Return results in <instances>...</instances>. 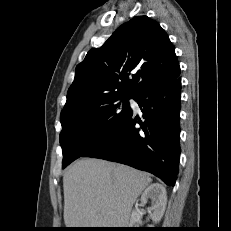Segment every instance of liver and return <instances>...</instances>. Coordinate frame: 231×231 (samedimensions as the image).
Returning a JSON list of instances; mask_svg holds the SVG:
<instances>
[{"label": "liver", "mask_w": 231, "mask_h": 231, "mask_svg": "<svg viewBox=\"0 0 231 231\" xmlns=\"http://www.w3.org/2000/svg\"><path fill=\"white\" fill-rule=\"evenodd\" d=\"M151 181L129 166L78 160L63 175L66 227L127 228L134 202Z\"/></svg>", "instance_id": "obj_1"}]
</instances>
